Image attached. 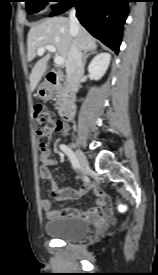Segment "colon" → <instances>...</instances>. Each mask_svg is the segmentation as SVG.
Wrapping results in <instances>:
<instances>
[{
  "mask_svg": "<svg viewBox=\"0 0 158 275\" xmlns=\"http://www.w3.org/2000/svg\"><path fill=\"white\" fill-rule=\"evenodd\" d=\"M37 143L41 151L47 150L51 141L52 133L57 130L61 122L54 114L43 105H36L33 110Z\"/></svg>",
  "mask_w": 158,
  "mask_h": 275,
  "instance_id": "1",
  "label": "colon"
}]
</instances>
